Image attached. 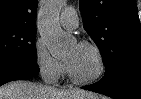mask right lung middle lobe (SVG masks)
Masks as SVG:
<instances>
[{"label": "right lung middle lobe", "instance_id": "obj_1", "mask_svg": "<svg viewBox=\"0 0 141 99\" xmlns=\"http://www.w3.org/2000/svg\"><path fill=\"white\" fill-rule=\"evenodd\" d=\"M36 27L0 26V64L37 65Z\"/></svg>", "mask_w": 141, "mask_h": 99}]
</instances>
